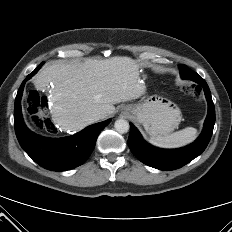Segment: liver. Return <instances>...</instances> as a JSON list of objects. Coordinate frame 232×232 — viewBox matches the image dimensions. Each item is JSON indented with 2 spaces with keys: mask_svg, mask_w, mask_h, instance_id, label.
<instances>
[{
  "mask_svg": "<svg viewBox=\"0 0 232 232\" xmlns=\"http://www.w3.org/2000/svg\"><path fill=\"white\" fill-rule=\"evenodd\" d=\"M33 82L40 90L52 84V120L70 132L93 123L91 115L95 112L104 113L103 118L111 116L114 104L137 99L146 90L136 61L121 56L87 58L82 63L56 62L43 67Z\"/></svg>",
  "mask_w": 232,
  "mask_h": 232,
  "instance_id": "obj_1",
  "label": "liver"
}]
</instances>
